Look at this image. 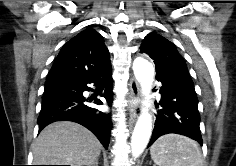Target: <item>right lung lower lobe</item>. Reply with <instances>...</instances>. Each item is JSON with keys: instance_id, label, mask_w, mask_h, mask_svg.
Here are the masks:
<instances>
[{"instance_id": "right-lung-lower-lobe-1", "label": "right lung lower lobe", "mask_w": 236, "mask_h": 166, "mask_svg": "<svg viewBox=\"0 0 236 166\" xmlns=\"http://www.w3.org/2000/svg\"><path fill=\"white\" fill-rule=\"evenodd\" d=\"M88 84L104 89L101 96L111 106L113 95L111 66L91 76H61L47 79L38 117L39 132L56 121H73L92 131L107 149L112 128L110 114H105L86 104L93 100L83 96L84 91L91 89ZM94 103L103 104L99 99L94 100Z\"/></svg>"}]
</instances>
